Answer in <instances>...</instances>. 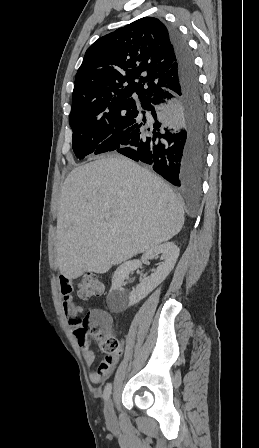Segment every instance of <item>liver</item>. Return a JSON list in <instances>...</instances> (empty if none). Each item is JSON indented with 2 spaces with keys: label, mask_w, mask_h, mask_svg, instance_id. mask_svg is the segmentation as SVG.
I'll use <instances>...</instances> for the list:
<instances>
[{
  "label": "liver",
  "mask_w": 259,
  "mask_h": 448,
  "mask_svg": "<svg viewBox=\"0 0 259 448\" xmlns=\"http://www.w3.org/2000/svg\"><path fill=\"white\" fill-rule=\"evenodd\" d=\"M183 224L176 194L158 176L124 156L96 158L72 170L61 190L55 238L60 274L68 280L105 274L171 240Z\"/></svg>",
  "instance_id": "obj_1"
}]
</instances>
